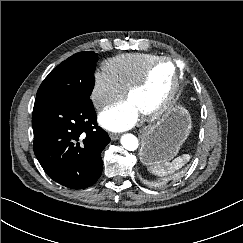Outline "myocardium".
Returning <instances> with one entry per match:
<instances>
[{
	"label": "myocardium",
	"mask_w": 243,
	"mask_h": 243,
	"mask_svg": "<svg viewBox=\"0 0 243 243\" xmlns=\"http://www.w3.org/2000/svg\"><path fill=\"white\" fill-rule=\"evenodd\" d=\"M162 62H168L173 65L174 75L169 90L166 93L165 97L162 99V101L154 108L142 113L143 116L149 120L158 118L168 109L178 90L180 77L179 69L175 60L171 57L166 56L157 57L147 65L142 74L135 81H133L126 89V97L129 98L136 90L140 89L147 83L154 67Z\"/></svg>",
	"instance_id": "f54148a6"
}]
</instances>
